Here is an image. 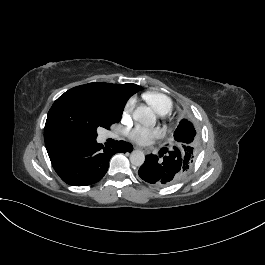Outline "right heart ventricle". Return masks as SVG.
I'll use <instances>...</instances> for the list:
<instances>
[{
	"mask_svg": "<svg viewBox=\"0 0 265 265\" xmlns=\"http://www.w3.org/2000/svg\"><path fill=\"white\" fill-rule=\"evenodd\" d=\"M146 104L159 117L166 116L172 110V104L169 99L162 95L147 93L144 95Z\"/></svg>",
	"mask_w": 265,
	"mask_h": 265,
	"instance_id": "e07e8e85",
	"label": "right heart ventricle"
}]
</instances>
